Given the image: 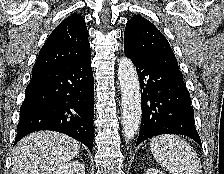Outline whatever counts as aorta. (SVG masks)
<instances>
[{"mask_svg": "<svg viewBox=\"0 0 224 174\" xmlns=\"http://www.w3.org/2000/svg\"><path fill=\"white\" fill-rule=\"evenodd\" d=\"M118 80L121 89L122 125L125 139L137 133L141 122V93L137 71L130 59L118 61Z\"/></svg>", "mask_w": 224, "mask_h": 174, "instance_id": "1", "label": "aorta"}]
</instances>
